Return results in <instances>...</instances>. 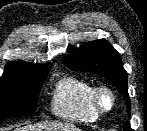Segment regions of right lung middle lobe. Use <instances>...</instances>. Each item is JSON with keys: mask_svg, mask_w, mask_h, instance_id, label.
Listing matches in <instances>:
<instances>
[{"mask_svg": "<svg viewBox=\"0 0 147 131\" xmlns=\"http://www.w3.org/2000/svg\"><path fill=\"white\" fill-rule=\"evenodd\" d=\"M5 75L0 78V122L13 113H32L47 74Z\"/></svg>", "mask_w": 147, "mask_h": 131, "instance_id": "1", "label": "right lung middle lobe"}]
</instances>
